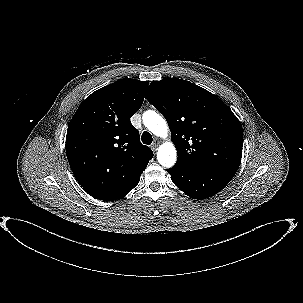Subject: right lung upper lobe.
Instances as JSON below:
<instances>
[{
    "label": "right lung upper lobe",
    "instance_id": "obj_1",
    "mask_svg": "<svg viewBox=\"0 0 303 303\" xmlns=\"http://www.w3.org/2000/svg\"><path fill=\"white\" fill-rule=\"evenodd\" d=\"M148 84L119 79L88 96L69 123L67 159L80 185L94 198L113 201L124 197L139 183L153 157L130 122Z\"/></svg>",
    "mask_w": 303,
    "mask_h": 303
}]
</instances>
